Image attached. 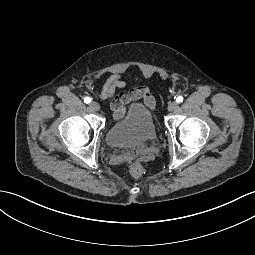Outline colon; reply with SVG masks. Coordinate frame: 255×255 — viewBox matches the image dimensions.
I'll return each mask as SVG.
<instances>
[{
	"instance_id": "colon-1",
	"label": "colon",
	"mask_w": 255,
	"mask_h": 255,
	"mask_svg": "<svg viewBox=\"0 0 255 255\" xmlns=\"http://www.w3.org/2000/svg\"><path fill=\"white\" fill-rule=\"evenodd\" d=\"M132 177L138 179L143 174V168L139 163H132L129 168Z\"/></svg>"
}]
</instances>
